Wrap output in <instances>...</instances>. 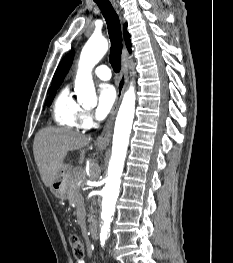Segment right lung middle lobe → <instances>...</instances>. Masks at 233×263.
Segmentation results:
<instances>
[{
	"label": "right lung middle lobe",
	"instance_id": "obj_1",
	"mask_svg": "<svg viewBox=\"0 0 233 263\" xmlns=\"http://www.w3.org/2000/svg\"><path fill=\"white\" fill-rule=\"evenodd\" d=\"M57 88H58V87L51 88V89L48 90V93L50 94L49 97H48V99L46 100V104H48V106L51 105V103H52V101H53V98H54V96H55V94H56V89H57Z\"/></svg>",
	"mask_w": 233,
	"mask_h": 263
}]
</instances>
